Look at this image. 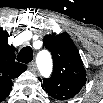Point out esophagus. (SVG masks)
I'll return each instance as SVG.
<instances>
[{
	"mask_svg": "<svg viewBox=\"0 0 103 103\" xmlns=\"http://www.w3.org/2000/svg\"><path fill=\"white\" fill-rule=\"evenodd\" d=\"M28 69L30 70V71H35L36 70V64H35V62H30L29 64H28Z\"/></svg>",
	"mask_w": 103,
	"mask_h": 103,
	"instance_id": "obj_1",
	"label": "esophagus"
}]
</instances>
